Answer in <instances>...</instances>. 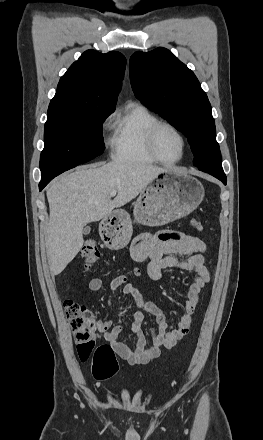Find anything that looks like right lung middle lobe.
<instances>
[{"label":"right lung middle lobe","mask_w":263,"mask_h":440,"mask_svg":"<svg viewBox=\"0 0 263 440\" xmlns=\"http://www.w3.org/2000/svg\"><path fill=\"white\" fill-rule=\"evenodd\" d=\"M111 113L94 111L48 117L40 157L41 178H54L102 154V123Z\"/></svg>","instance_id":"obj_1"}]
</instances>
